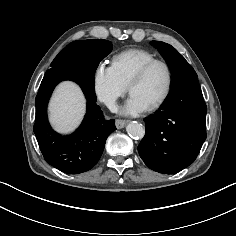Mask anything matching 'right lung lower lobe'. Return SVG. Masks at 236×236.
I'll return each instance as SVG.
<instances>
[{
  "mask_svg": "<svg viewBox=\"0 0 236 236\" xmlns=\"http://www.w3.org/2000/svg\"><path fill=\"white\" fill-rule=\"evenodd\" d=\"M94 73L85 68L51 69L46 72L35 99L34 133L41 152L47 163L67 174L90 170L100 159L107 137L116 130L115 120H105L96 104ZM63 80L78 83L87 99V112L81 126L68 136L56 133L47 118L49 98Z\"/></svg>",
  "mask_w": 236,
  "mask_h": 236,
  "instance_id": "obj_1",
  "label": "right lung lower lobe"
}]
</instances>
